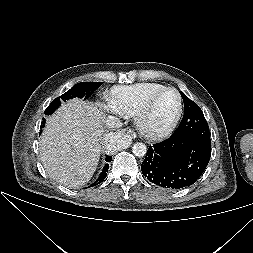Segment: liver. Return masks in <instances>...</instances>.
<instances>
[{
  "label": "liver",
  "mask_w": 253,
  "mask_h": 253,
  "mask_svg": "<svg viewBox=\"0 0 253 253\" xmlns=\"http://www.w3.org/2000/svg\"><path fill=\"white\" fill-rule=\"evenodd\" d=\"M103 123V113L78 98L63 103L47 119L39 151L51 178L69 187H81L92 178L100 158Z\"/></svg>",
  "instance_id": "liver-1"
}]
</instances>
